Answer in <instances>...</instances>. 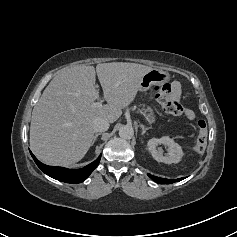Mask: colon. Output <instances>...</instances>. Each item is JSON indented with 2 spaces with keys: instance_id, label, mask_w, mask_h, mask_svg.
Here are the masks:
<instances>
[{
  "instance_id": "1",
  "label": "colon",
  "mask_w": 237,
  "mask_h": 237,
  "mask_svg": "<svg viewBox=\"0 0 237 237\" xmlns=\"http://www.w3.org/2000/svg\"><path fill=\"white\" fill-rule=\"evenodd\" d=\"M156 90L158 92L159 100L167 113L178 116L187 110L182 101L172 96L170 85L163 84L158 86ZM197 130L198 136L193 148L197 153H202L207 145L208 129L206 122L199 120L197 122Z\"/></svg>"
}]
</instances>
